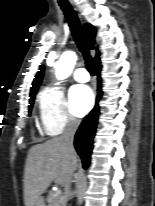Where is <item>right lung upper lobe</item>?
I'll return each mask as SVG.
<instances>
[{
    "label": "right lung upper lobe",
    "instance_id": "1",
    "mask_svg": "<svg viewBox=\"0 0 155 206\" xmlns=\"http://www.w3.org/2000/svg\"><path fill=\"white\" fill-rule=\"evenodd\" d=\"M84 30H85V33L88 37V41H89V46L91 49H94V44H95V35H96V30L95 28L91 25V24H88L86 23L84 25ZM96 61L97 63H100V59H99V52H97V55H96ZM43 74H44V67L42 66L40 71L38 72V74L36 75L33 83H32V87H31V91H30V96H33V95H36L37 93V90L42 82V78H43Z\"/></svg>",
    "mask_w": 155,
    "mask_h": 206
}]
</instances>
